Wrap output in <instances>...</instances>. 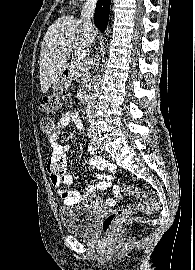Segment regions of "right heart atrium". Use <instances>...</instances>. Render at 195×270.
I'll return each mask as SVG.
<instances>
[{"instance_id":"obj_1","label":"right heart atrium","mask_w":195,"mask_h":270,"mask_svg":"<svg viewBox=\"0 0 195 270\" xmlns=\"http://www.w3.org/2000/svg\"><path fill=\"white\" fill-rule=\"evenodd\" d=\"M81 1H90V0H81Z\"/></svg>"}]
</instances>
